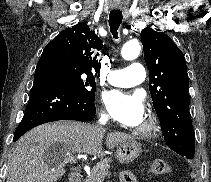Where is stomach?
<instances>
[{
  "label": "stomach",
  "mask_w": 211,
  "mask_h": 182,
  "mask_svg": "<svg viewBox=\"0 0 211 182\" xmlns=\"http://www.w3.org/2000/svg\"><path fill=\"white\" fill-rule=\"evenodd\" d=\"M141 153V144L134 139H128L117 147L116 158L120 163H130Z\"/></svg>",
  "instance_id": "obj_1"
}]
</instances>
